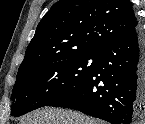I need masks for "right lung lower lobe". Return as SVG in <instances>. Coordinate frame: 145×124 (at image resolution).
Here are the masks:
<instances>
[{"mask_svg": "<svg viewBox=\"0 0 145 124\" xmlns=\"http://www.w3.org/2000/svg\"><path fill=\"white\" fill-rule=\"evenodd\" d=\"M45 106L79 110L112 124H135L145 108V38L139 26L106 45L80 83Z\"/></svg>", "mask_w": 145, "mask_h": 124, "instance_id": "obj_1", "label": "right lung lower lobe"}]
</instances>
